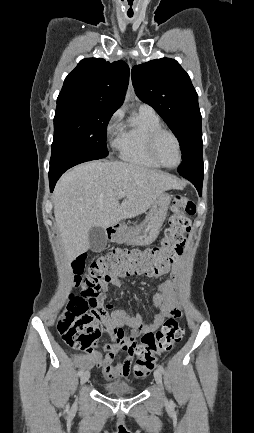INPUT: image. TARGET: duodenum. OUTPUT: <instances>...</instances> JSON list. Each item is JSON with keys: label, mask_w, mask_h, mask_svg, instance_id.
I'll return each mask as SVG.
<instances>
[{"label": "duodenum", "mask_w": 254, "mask_h": 433, "mask_svg": "<svg viewBox=\"0 0 254 433\" xmlns=\"http://www.w3.org/2000/svg\"><path fill=\"white\" fill-rule=\"evenodd\" d=\"M120 229H121V225L118 223L111 225L107 230L108 237L109 238L114 237L119 232Z\"/></svg>", "instance_id": "410a0bca"}]
</instances>
